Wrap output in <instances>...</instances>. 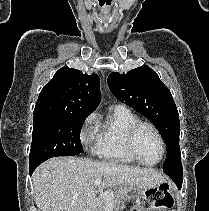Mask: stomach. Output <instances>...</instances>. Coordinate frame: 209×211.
<instances>
[{
  "instance_id": "1",
  "label": "stomach",
  "mask_w": 209,
  "mask_h": 211,
  "mask_svg": "<svg viewBox=\"0 0 209 211\" xmlns=\"http://www.w3.org/2000/svg\"><path fill=\"white\" fill-rule=\"evenodd\" d=\"M143 190L134 186H127L121 189V195L124 200H136L141 194Z\"/></svg>"
}]
</instances>
